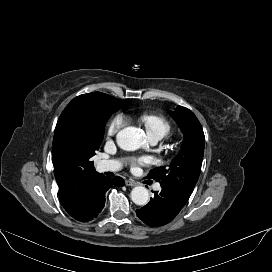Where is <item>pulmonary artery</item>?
<instances>
[{
	"label": "pulmonary artery",
	"instance_id": "obj_1",
	"mask_svg": "<svg viewBox=\"0 0 272 272\" xmlns=\"http://www.w3.org/2000/svg\"><path fill=\"white\" fill-rule=\"evenodd\" d=\"M162 138L161 135H149V141L150 144L154 145L156 144L160 139ZM122 163L119 160H101L98 163V168L100 171L105 172V171H117L121 168ZM155 190H160V185L156 184L154 186Z\"/></svg>",
	"mask_w": 272,
	"mask_h": 272
}]
</instances>
